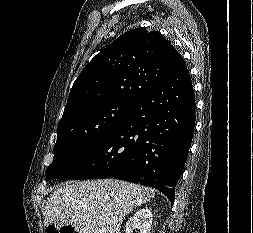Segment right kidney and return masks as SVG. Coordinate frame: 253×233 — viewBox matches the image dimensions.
Listing matches in <instances>:
<instances>
[{"label": "right kidney", "instance_id": "ca27d5eb", "mask_svg": "<svg viewBox=\"0 0 253 233\" xmlns=\"http://www.w3.org/2000/svg\"><path fill=\"white\" fill-rule=\"evenodd\" d=\"M153 214L148 208L138 210L126 223V233H133L135 229L138 233H150Z\"/></svg>", "mask_w": 253, "mask_h": 233}]
</instances>
